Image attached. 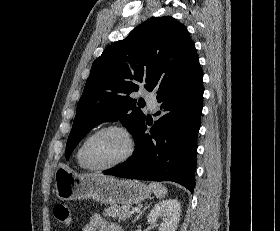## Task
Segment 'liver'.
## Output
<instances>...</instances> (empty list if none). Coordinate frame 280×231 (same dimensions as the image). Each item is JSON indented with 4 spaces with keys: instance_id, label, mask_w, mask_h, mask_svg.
<instances>
[{
    "instance_id": "liver-1",
    "label": "liver",
    "mask_w": 280,
    "mask_h": 231,
    "mask_svg": "<svg viewBox=\"0 0 280 231\" xmlns=\"http://www.w3.org/2000/svg\"><path fill=\"white\" fill-rule=\"evenodd\" d=\"M90 177H102V175H98V173H88Z\"/></svg>"
}]
</instances>
